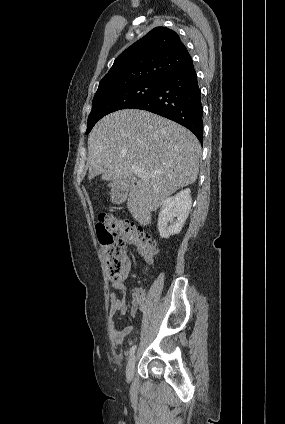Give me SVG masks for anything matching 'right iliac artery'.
<instances>
[{
    "label": "right iliac artery",
    "mask_w": 285,
    "mask_h": 424,
    "mask_svg": "<svg viewBox=\"0 0 285 424\" xmlns=\"http://www.w3.org/2000/svg\"><path fill=\"white\" fill-rule=\"evenodd\" d=\"M135 350H136V345H134V346H132V347L130 348V351H129V356H130V357L134 355Z\"/></svg>",
    "instance_id": "1"
}]
</instances>
